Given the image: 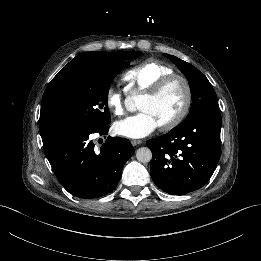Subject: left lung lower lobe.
Masks as SVG:
<instances>
[{"label": "left lung lower lobe", "instance_id": "1", "mask_svg": "<svg viewBox=\"0 0 261 261\" xmlns=\"http://www.w3.org/2000/svg\"><path fill=\"white\" fill-rule=\"evenodd\" d=\"M220 115L203 114L167 134L147 141L152 150L151 177L172 195L203 187L221 156Z\"/></svg>", "mask_w": 261, "mask_h": 261}]
</instances>
